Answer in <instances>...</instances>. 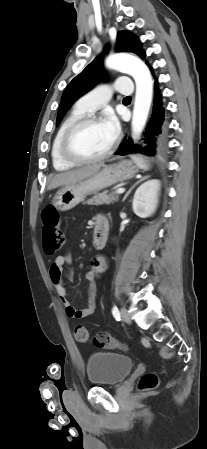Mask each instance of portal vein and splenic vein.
<instances>
[{"label": "portal vein and splenic vein", "mask_w": 207, "mask_h": 449, "mask_svg": "<svg viewBox=\"0 0 207 449\" xmlns=\"http://www.w3.org/2000/svg\"><path fill=\"white\" fill-rule=\"evenodd\" d=\"M124 192H125V189H124V188H119V189L116 191L117 194H122V193H124Z\"/></svg>", "instance_id": "18ae733b"}]
</instances>
